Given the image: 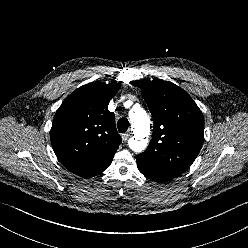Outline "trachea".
Masks as SVG:
<instances>
[{"label": "trachea", "mask_w": 248, "mask_h": 248, "mask_svg": "<svg viewBox=\"0 0 248 248\" xmlns=\"http://www.w3.org/2000/svg\"><path fill=\"white\" fill-rule=\"evenodd\" d=\"M117 127L120 133H125L129 127V121L127 118H120L117 123Z\"/></svg>", "instance_id": "obj_1"}]
</instances>
